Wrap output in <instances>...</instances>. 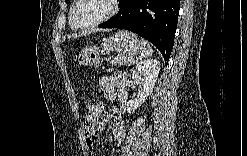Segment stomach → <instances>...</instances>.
Returning <instances> with one entry per match:
<instances>
[{"instance_id": "0dacf381", "label": "stomach", "mask_w": 247, "mask_h": 156, "mask_svg": "<svg viewBox=\"0 0 247 156\" xmlns=\"http://www.w3.org/2000/svg\"><path fill=\"white\" fill-rule=\"evenodd\" d=\"M113 50L133 56L141 52V44L137 35L121 30L108 38H104L100 47L83 48L81 59L86 66L98 68L103 62L102 54L110 53Z\"/></svg>"}]
</instances>
